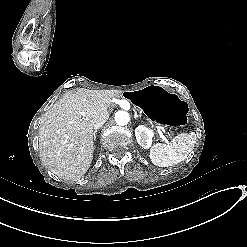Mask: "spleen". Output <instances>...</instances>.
Wrapping results in <instances>:
<instances>
[{"label":"spleen","instance_id":"1","mask_svg":"<svg viewBox=\"0 0 247 247\" xmlns=\"http://www.w3.org/2000/svg\"><path fill=\"white\" fill-rule=\"evenodd\" d=\"M195 133H180L172 140L173 146L155 143L149 151L150 161L159 167H168L182 162L193 150Z\"/></svg>","mask_w":247,"mask_h":247}]
</instances>
